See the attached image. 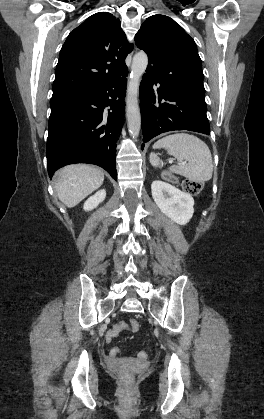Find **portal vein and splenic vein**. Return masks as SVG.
I'll return each instance as SVG.
<instances>
[{
	"label": "portal vein and splenic vein",
	"instance_id": "obj_1",
	"mask_svg": "<svg viewBox=\"0 0 264 419\" xmlns=\"http://www.w3.org/2000/svg\"><path fill=\"white\" fill-rule=\"evenodd\" d=\"M168 162H169V163H173V159H169V160H168Z\"/></svg>",
	"mask_w": 264,
	"mask_h": 419
}]
</instances>
